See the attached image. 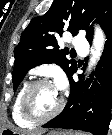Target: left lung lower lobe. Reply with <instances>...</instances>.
Listing matches in <instances>:
<instances>
[{"instance_id": "left-lung-lower-lobe-1", "label": "left lung lower lobe", "mask_w": 112, "mask_h": 135, "mask_svg": "<svg viewBox=\"0 0 112 135\" xmlns=\"http://www.w3.org/2000/svg\"><path fill=\"white\" fill-rule=\"evenodd\" d=\"M107 41L94 74L86 81L74 82L72 75L70 95L63 111L44 124L45 128H63L107 135L111 120L112 102V20L104 29ZM90 44L92 42H89Z\"/></svg>"}]
</instances>
